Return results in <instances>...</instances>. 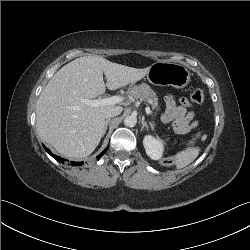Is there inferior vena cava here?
<instances>
[{
    "mask_svg": "<svg viewBox=\"0 0 250 250\" xmlns=\"http://www.w3.org/2000/svg\"><path fill=\"white\" fill-rule=\"evenodd\" d=\"M122 112V108L117 106V107H112L110 108L106 114H105V118H111V117H115L118 116L120 113Z\"/></svg>",
    "mask_w": 250,
    "mask_h": 250,
    "instance_id": "inferior-vena-cava-1",
    "label": "inferior vena cava"
}]
</instances>
